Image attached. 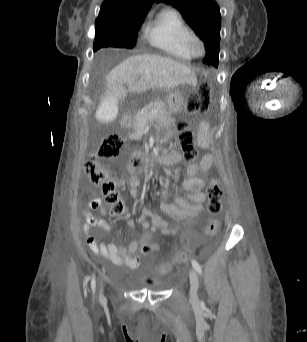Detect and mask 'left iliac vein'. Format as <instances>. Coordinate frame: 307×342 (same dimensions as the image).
<instances>
[{"instance_id": "obj_1", "label": "left iliac vein", "mask_w": 307, "mask_h": 342, "mask_svg": "<svg viewBox=\"0 0 307 342\" xmlns=\"http://www.w3.org/2000/svg\"><path fill=\"white\" fill-rule=\"evenodd\" d=\"M190 301L197 302L198 301V287H199V280L197 273L194 269H190Z\"/></svg>"}]
</instances>
